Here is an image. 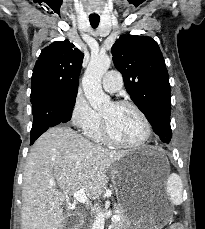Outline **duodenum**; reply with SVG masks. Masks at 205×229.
I'll return each instance as SVG.
<instances>
[{"mask_svg": "<svg viewBox=\"0 0 205 229\" xmlns=\"http://www.w3.org/2000/svg\"><path fill=\"white\" fill-rule=\"evenodd\" d=\"M80 222H81V217L79 216L76 225L73 226V227H71V228H69V229H77V227H78V225L80 224Z\"/></svg>", "mask_w": 205, "mask_h": 229, "instance_id": "duodenum-1", "label": "duodenum"}]
</instances>
